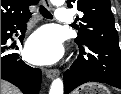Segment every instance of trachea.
Returning a JSON list of instances; mask_svg holds the SVG:
<instances>
[{
	"mask_svg": "<svg viewBox=\"0 0 121 94\" xmlns=\"http://www.w3.org/2000/svg\"><path fill=\"white\" fill-rule=\"evenodd\" d=\"M39 10H40L41 15L44 18H47V19H52L53 18L52 14L44 6L41 5Z\"/></svg>",
	"mask_w": 121,
	"mask_h": 94,
	"instance_id": "3493384b",
	"label": "trachea"
}]
</instances>
